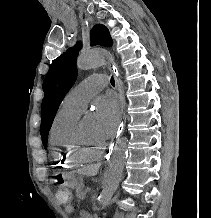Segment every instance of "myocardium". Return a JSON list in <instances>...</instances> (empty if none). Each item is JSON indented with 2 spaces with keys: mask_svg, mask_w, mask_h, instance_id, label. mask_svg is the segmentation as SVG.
I'll use <instances>...</instances> for the list:
<instances>
[{
  "mask_svg": "<svg viewBox=\"0 0 211 218\" xmlns=\"http://www.w3.org/2000/svg\"><path fill=\"white\" fill-rule=\"evenodd\" d=\"M75 146L83 154L98 157L104 153L108 144L105 141L100 144H94L86 140L82 133L81 124H79L75 131Z\"/></svg>",
  "mask_w": 211,
  "mask_h": 218,
  "instance_id": "myocardium-1",
  "label": "myocardium"
}]
</instances>
